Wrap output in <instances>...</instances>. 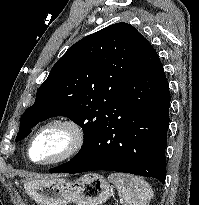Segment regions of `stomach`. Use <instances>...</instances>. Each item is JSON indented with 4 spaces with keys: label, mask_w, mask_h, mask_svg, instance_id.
Returning <instances> with one entry per match:
<instances>
[{
    "label": "stomach",
    "mask_w": 199,
    "mask_h": 205,
    "mask_svg": "<svg viewBox=\"0 0 199 205\" xmlns=\"http://www.w3.org/2000/svg\"><path fill=\"white\" fill-rule=\"evenodd\" d=\"M26 193L38 205H101L112 195V186L98 173L69 181L64 178H35L25 183Z\"/></svg>",
    "instance_id": "0dacf381"
}]
</instances>
